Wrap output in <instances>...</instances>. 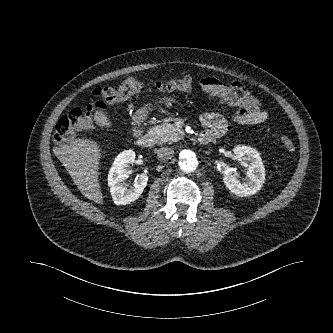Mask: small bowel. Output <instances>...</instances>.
<instances>
[{
    "instance_id": "small-bowel-1",
    "label": "small bowel",
    "mask_w": 333,
    "mask_h": 333,
    "mask_svg": "<svg viewBox=\"0 0 333 333\" xmlns=\"http://www.w3.org/2000/svg\"><path fill=\"white\" fill-rule=\"evenodd\" d=\"M202 89L217 97L221 104L233 109L232 119L239 123L259 124L267 118L260 102L250 95L239 83H223L214 77L201 80ZM202 124L213 138L220 137L226 130V120L217 112H205L201 115Z\"/></svg>"
}]
</instances>
